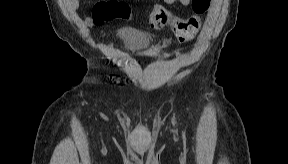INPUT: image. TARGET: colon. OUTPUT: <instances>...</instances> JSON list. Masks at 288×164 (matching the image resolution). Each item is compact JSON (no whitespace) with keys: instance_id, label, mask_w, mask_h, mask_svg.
Masks as SVG:
<instances>
[{"instance_id":"5ec220e1","label":"colon","mask_w":288,"mask_h":164,"mask_svg":"<svg viewBox=\"0 0 288 164\" xmlns=\"http://www.w3.org/2000/svg\"><path fill=\"white\" fill-rule=\"evenodd\" d=\"M210 5V0H196L193 9L197 13H203ZM126 4L118 1L101 0L92 9L94 23L103 24L117 18L126 19L129 16ZM148 22L152 30H161L166 26L171 27L177 40L186 42L194 39L200 31L203 21L201 16L193 14L185 20H177L167 8L154 5L151 9Z\"/></svg>"}]
</instances>
